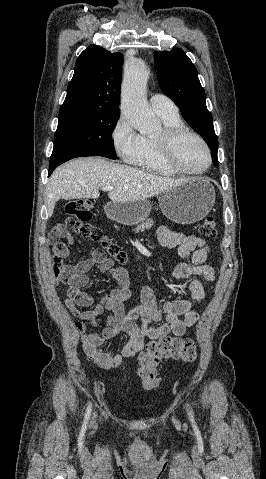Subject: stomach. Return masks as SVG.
<instances>
[{
    "label": "stomach",
    "instance_id": "stomach-1",
    "mask_svg": "<svg viewBox=\"0 0 266 479\" xmlns=\"http://www.w3.org/2000/svg\"><path fill=\"white\" fill-rule=\"evenodd\" d=\"M159 206L162 213L179 224H192L203 219L215 203V190L203 178H192L160 194ZM109 218L124 225L143 221L151 212L147 200L115 202L105 206Z\"/></svg>",
    "mask_w": 266,
    "mask_h": 479
}]
</instances>
